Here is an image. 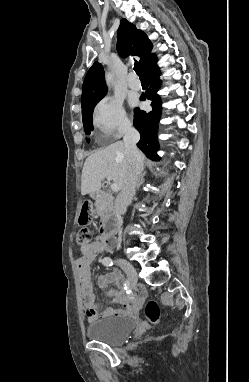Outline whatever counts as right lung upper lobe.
Wrapping results in <instances>:
<instances>
[{
  "label": "right lung upper lobe",
  "instance_id": "right-lung-upper-lobe-1",
  "mask_svg": "<svg viewBox=\"0 0 249 382\" xmlns=\"http://www.w3.org/2000/svg\"><path fill=\"white\" fill-rule=\"evenodd\" d=\"M118 41V53L123 57L128 55L139 56V63L143 70L155 58V55L151 54L152 44L146 34L138 30L135 25L126 19L121 20L118 29ZM106 92L103 67L100 63L95 62L88 70L84 79L82 87V111L93 101L102 99Z\"/></svg>",
  "mask_w": 249,
  "mask_h": 382
}]
</instances>
